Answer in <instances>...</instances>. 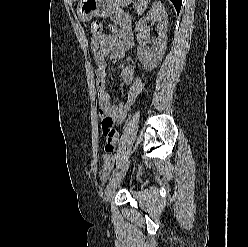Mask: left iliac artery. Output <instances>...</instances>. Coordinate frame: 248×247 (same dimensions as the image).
<instances>
[{
	"instance_id": "obj_1",
	"label": "left iliac artery",
	"mask_w": 248,
	"mask_h": 247,
	"mask_svg": "<svg viewBox=\"0 0 248 247\" xmlns=\"http://www.w3.org/2000/svg\"><path fill=\"white\" fill-rule=\"evenodd\" d=\"M117 172H118V169H115V170L113 171V174H112L111 178H113V177L117 174ZM111 178H110V180H111Z\"/></svg>"
}]
</instances>
